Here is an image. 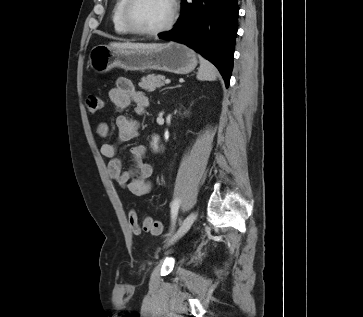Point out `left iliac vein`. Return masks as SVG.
Segmentation results:
<instances>
[{
	"instance_id": "4c4485c4",
	"label": "left iliac vein",
	"mask_w": 363,
	"mask_h": 317,
	"mask_svg": "<svg viewBox=\"0 0 363 317\" xmlns=\"http://www.w3.org/2000/svg\"><path fill=\"white\" fill-rule=\"evenodd\" d=\"M196 218H197L196 212L190 213L188 217L182 222L177 232L168 241L167 245H171L177 240H179L190 229Z\"/></svg>"
}]
</instances>
